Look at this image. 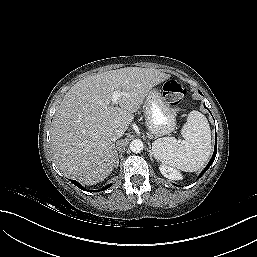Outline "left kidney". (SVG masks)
Returning <instances> with one entry per match:
<instances>
[{"mask_svg":"<svg viewBox=\"0 0 257 257\" xmlns=\"http://www.w3.org/2000/svg\"><path fill=\"white\" fill-rule=\"evenodd\" d=\"M159 169L162 175L168 179H172V180L181 179V174L169 166L161 165Z\"/></svg>","mask_w":257,"mask_h":257,"instance_id":"1","label":"left kidney"}]
</instances>
